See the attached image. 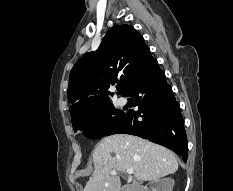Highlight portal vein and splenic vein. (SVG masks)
Instances as JSON below:
<instances>
[{
	"label": "portal vein and splenic vein",
	"mask_w": 233,
	"mask_h": 191,
	"mask_svg": "<svg viewBox=\"0 0 233 191\" xmlns=\"http://www.w3.org/2000/svg\"><path fill=\"white\" fill-rule=\"evenodd\" d=\"M127 174L131 175L134 173L133 169H127ZM117 174V171L116 170H112L111 171V175H116Z\"/></svg>",
	"instance_id": "obj_1"
}]
</instances>
